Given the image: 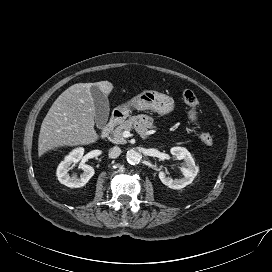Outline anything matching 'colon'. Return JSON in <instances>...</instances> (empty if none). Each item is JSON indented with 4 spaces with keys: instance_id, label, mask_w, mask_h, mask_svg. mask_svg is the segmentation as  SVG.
Listing matches in <instances>:
<instances>
[{
    "instance_id": "5ec220e1",
    "label": "colon",
    "mask_w": 272,
    "mask_h": 272,
    "mask_svg": "<svg viewBox=\"0 0 272 272\" xmlns=\"http://www.w3.org/2000/svg\"><path fill=\"white\" fill-rule=\"evenodd\" d=\"M182 99L188 108L187 118L189 123L197 126L199 123V100L197 95L192 90H184ZM199 140L206 146H212L215 139L211 133L203 131L199 134Z\"/></svg>"
}]
</instances>
